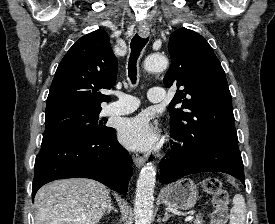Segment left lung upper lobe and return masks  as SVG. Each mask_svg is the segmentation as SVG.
Masks as SVG:
<instances>
[{
  "label": "left lung upper lobe",
  "mask_w": 275,
  "mask_h": 224,
  "mask_svg": "<svg viewBox=\"0 0 275 224\" xmlns=\"http://www.w3.org/2000/svg\"><path fill=\"white\" fill-rule=\"evenodd\" d=\"M169 53L164 84L177 85L170 102L171 132L187 142L204 137L238 142L225 72L206 39L182 27L171 34Z\"/></svg>",
  "instance_id": "5c2ea615"
}]
</instances>
